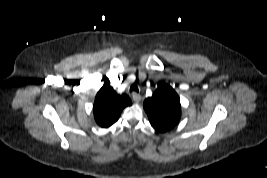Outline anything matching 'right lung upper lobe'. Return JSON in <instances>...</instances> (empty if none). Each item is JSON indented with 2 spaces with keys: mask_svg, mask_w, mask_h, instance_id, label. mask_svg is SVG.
I'll list each match as a JSON object with an SVG mask.
<instances>
[{
  "mask_svg": "<svg viewBox=\"0 0 267 178\" xmlns=\"http://www.w3.org/2000/svg\"><path fill=\"white\" fill-rule=\"evenodd\" d=\"M131 104L130 98L126 94H117L107 79L98 91L93 106L97 124L103 128L111 126L118 120L123 109Z\"/></svg>",
  "mask_w": 267,
  "mask_h": 178,
  "instance_id": "1",
  "label": "right lung upper lobe"
}]
</instances>
